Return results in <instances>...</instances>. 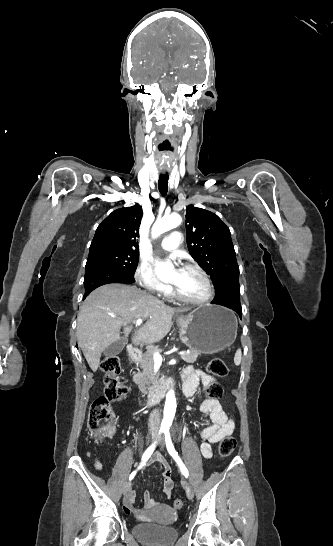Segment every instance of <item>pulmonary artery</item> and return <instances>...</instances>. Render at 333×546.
I'll return each instance as SVG.
<instances>
[{
  "instance_id": "1",
  "label": "pulmonary artery",
  "mask_w": 333,
  "mask_h": 546,
  "mask_svg": "<svg viewBox=\"0 0 333 546\" xmlns=\"http://www.w3.org/2000/svg\"><path fill=\"white\" fill-rule=\"evenodd\" d=\"M182 242V234L179 231H173L160 242V248L164 251H173L179 247Z\"/></svg>"
}]
</instances>
